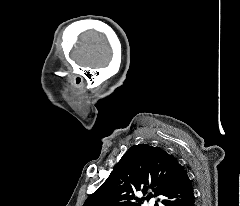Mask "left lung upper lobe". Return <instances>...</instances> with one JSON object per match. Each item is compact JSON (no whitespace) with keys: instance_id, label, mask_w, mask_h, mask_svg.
I'll return each instance as SVG.
<instances>
[{"instance_id":"left-lung-upper-lobe-1","label":"left lung upper lobe","mask_w":240,"mask_h":206,"mask_svg":"<svg viewBox=\"0 0 240 206\" xmlns=\"http://www.w3.org/2000/svg\"><path fill=\"white\" fill-rule=\"evenodd\" d=\"M177 168L176 158L164 150L148 144L133 145L83 206H141L144 198L135 197L136 191H142L148 200L165 197Z\"/></svg>"}]
</instances>
